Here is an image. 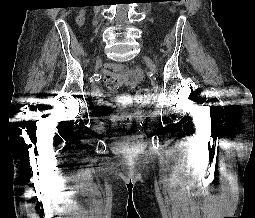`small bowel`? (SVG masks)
I'll list each match as a JSON object with an SVG mask.
<instances>
[{
  "label": "small bowel",
  "mask_w": 255,
  "mask_h": 218,
  "mask_svg": "<svg viewBox=\"0 0 255 218\" xmlns=\"http://www.w3.org/2000/svg\"><path fill=\"white\" fill-rule=\"evenodd\" d=\"M104 78L116 80L119 84H126L129 86H135L143 79L141 70L137 67L127 68L123 64L108 63L104 70ZM93 95L99 99L102 98V92L98 87L93 88ZM127 95L120 96L117 100L122 102L128 100Z\"/></svg>",
  "instance_id": "obj_1"
}]
</instances>
